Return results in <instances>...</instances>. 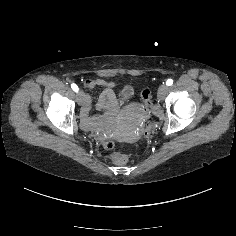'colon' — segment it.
<instances>
[{"label": "colon", "mask_w": 236, "mask_h": 236, "mask_svg": "<svg viewBox=\"0 0 236 236\" xmlns=\"http://www.w3.org/2000/svg\"><path fill=\"white\" fill-rule=\"evenodd\" d=\"M141 98L144 102L145 110L149 113H151L154 109L153 101H152V94L151 90L149 88H145L141 92ZM151 130V124H147L145 130H144V136H148ZM103 147L107 150H113L115 145L110 140H105L103 143ZM110 158L113 163L117 165H124L127 162V156L124 154L119 153H111Z\"/></svg>", "instance_id": "colon-1"}]
</instances>
